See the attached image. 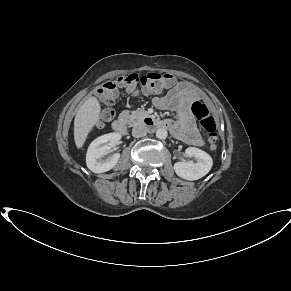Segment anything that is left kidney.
I'll use <instances>...</instances> for the list:
<instances>
[{
    "label": "left kidney",
    "instance_id": "left-kidney-1",
    "mask_svg": "<svg viewBox=\"0 0 291 291\" xmlns=\"http://www.w3.org/2000/svg\"><path fill=\"white\" fill-rule=\"evenodd\" d=\"M185 152L188 157L195 158L196 162H176L174 164V170L179 177L186 180H198L210 171L213 161L209 154L195 147H188Z\"/></svg>",
    "mask_w": 291,
    "mask_h": 291
}]
</instances>
